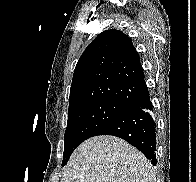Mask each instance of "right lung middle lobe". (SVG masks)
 Listing matches in <instances>:
<instances>
[{"label":"right lung middle lobe","instance_id":"dd1d6c3e","mask_svg":"<svg viewBox=\"0 0 196 182\" xmlns=\"http://www.w3.org/2000/svg\"><path fill=\"white\" fill-rule=\"evenodd\" d=\"M131 106L113 100H97L69 110L62 166L67 163L79 144L92 137L101 127L126 112Z\"/></svg>","mask_w":196,"mask_h":182}]
</instances>
